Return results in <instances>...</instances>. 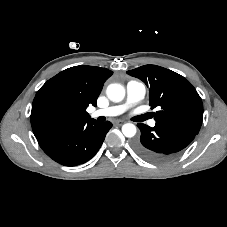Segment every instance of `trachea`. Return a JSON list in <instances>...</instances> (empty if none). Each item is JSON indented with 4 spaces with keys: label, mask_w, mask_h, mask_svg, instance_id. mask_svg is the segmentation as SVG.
Returning <instances> with one entry per match:
<instances>
[{
    "label": "trachea",
    "mask_w": 227,
    "mask_h": 227,
    "mask_svg": "<svg viewBox=\"0 0 227 227\" xmlns=\"http://www.w3.org/2000/svg\"><path fill=\"white\" fill-rule=\"evenodd\" d=\"M147 117H148L147 115H141V116L138 117V119L140 121H143V120L147 119Z\"/></svg>",
    "instance_id": "obj_1"
}]
</instances>
